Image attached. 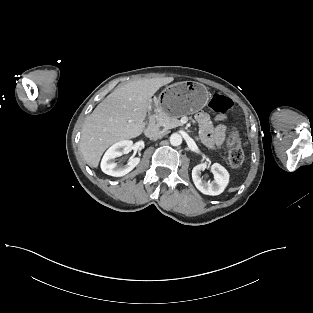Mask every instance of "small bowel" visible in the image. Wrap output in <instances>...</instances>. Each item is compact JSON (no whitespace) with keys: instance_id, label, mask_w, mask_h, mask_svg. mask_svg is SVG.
Wrapping results in <instances>:
<instances>
[{"instance_id":"1","label":"small bowel","mask_w":313,"mask_h":313,"mask_svg":"<svg viewBox=\"0 0 313 313\" xmlns=\"http://www.w3.org/2000/svg\"><path fill=\"white\" fill-rule=\"evenodd\" d=\"M224 118V116L219 115L216 120L220 121ZM196 121L199 125L200 137L206 145L216 147L222 144L226 132V127L223 124L213 127L209 115L205 112L198 113Z\"/></svg>"}]
</instances>
